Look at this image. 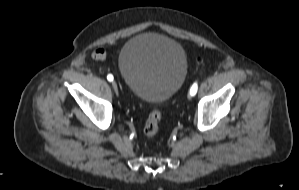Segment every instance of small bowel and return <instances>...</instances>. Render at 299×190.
Wrapping results in <instances>:
<instances>
[{
	"instance_id": "obj_1",
	"label": "small bowel",
	"mask_w": 299,
	"mask_h": 190,
	"mask_svg": "<svg viewBox=\"0 0 299 190\" xmlns=\"http://www.w3.org/2000/svg\"><path fill=\"white\" fill-rule=\"evenodd\" d=\"M93 57L102 60L106 57V51L103 48H99L94 51Z\"/></svg>"
}]
</instances>
